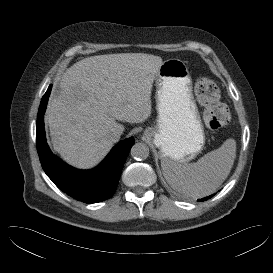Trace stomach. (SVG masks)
Segmentation results:
<instances>
[{
	"label": "stomach",
	"mask_w": 273,
	"mask_h": 273,
	"mask_svg": "<svg viewBox=\"0 0 273 273\" xmlns=\"http://www.w3.org/2000/svg\"><path fill=\"white\" fill-rule=\"evenodd\" d=\"M155 85L157 124L145 129L144 134L159 149L161 161L187 163L205 145L204 127L188 67L180 59L164 61Z\"/></svg>",
	"instance_id": "1"
}]
</instances>
